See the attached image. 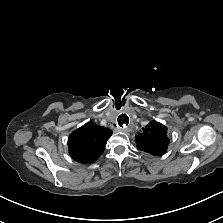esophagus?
<instances>
[{"label": "esophagus", "instance_id": "1", "mask_svg": "<svg viewBox=\"0 0 223 223\" xmlns=\"http://www.w3.org/2000/svg\"><path fill=\"white\" fill-rule=\"evenodd\" d=\"M116 125L121 130H126L131 125V120L126 114L120 115L116 120Z\"/></svg>", "mask_w": 223, "mask_h": 223}]
</instances>
